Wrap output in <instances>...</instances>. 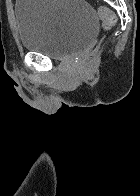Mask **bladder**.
Instances as JSON below:
<instances>
[{"mask_svg":"<svg viewBox=\"0 0 140 196\" xmlns=\"http://www.w3.org/2000/svg\"><path fill=\"white\" fill-rule=\"evenodd\" d=\"M21 46L55 60L85 51L98 33V14L85 0H16Z\"/></svg>","mask_w":140,"mask_h":196,"instance_id":"obj_1","label":"bladder"}]
</instances>
